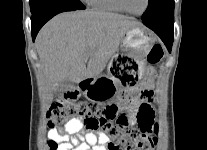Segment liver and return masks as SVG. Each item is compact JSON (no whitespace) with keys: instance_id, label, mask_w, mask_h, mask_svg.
Wrapping results in <instances>:
<instances>
[{"instance_id":"6515ba94","label":"liver","mask_w":207,"mask_h":150,"mask_svg":"<svg viewBox=\"0 0 207 150\" xmlns=\"http://www.w3.org/2000/svg\"><path fill=\"white\" fill-rule=\"evenodd\" d=\"M135 19L100 11L65 12L40 30L36 47L43 65L46 99L52 102L60 82L97 78L117 51Z\"/></svg>"}]
</instances>
